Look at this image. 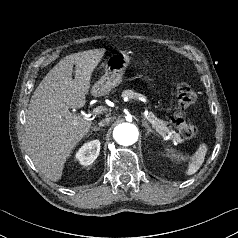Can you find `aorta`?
<instances>
[{
	"mask_svg": "<svg viewBox=\"0 0 238 238\" xmlns=\"http://www.w3.org/2000/svg\"><path fill=\"white\" fill-rule=\"evenodd\" d=\"M113 137L120 145H132L138 139V129L134 124L121 123L114 128Z\"/></svg>",
	"mask_w": 238,
	"mask_h": 238,
	"instance_id": "aorta-1",
	"label": "aorta"
}]
</instances>
